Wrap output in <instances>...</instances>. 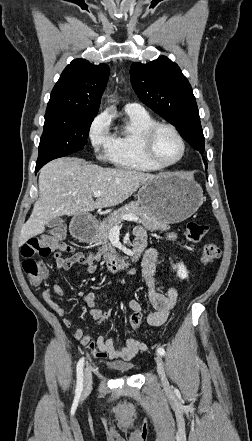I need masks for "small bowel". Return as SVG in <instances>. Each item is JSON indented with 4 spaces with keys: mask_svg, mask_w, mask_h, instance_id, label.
Listing matches in <instances>:
<instances>
[{
    "mask_svg": "<svg viewBox=\"0 0 252 441\" xmlns=\"http://www.w3.org/2000/svg\"><path fill=\"white\" fill-rule=\"evenodd\" d=\"M169 239H175L176 236L173 233L168 234ZM147 238L142 229L136 231V239L134 245L143 246V250L146 248ZM73 249L67 246L64 251H57L55 253V266L58 269L69 270L75 264H81L85 267L88 273H94L97 270L96 258L97 255L90 254L85 256L82 253H74L69 257H64V252H72ZM157 252L153 248H147L145 251L142 269L140 272V280L146 285L148 289V310H147V322L152 327H160L163 325L171 310L174 308L178 298L177 289L173 286L169 287L166 293H162L156 290L154 275L156 271ZM52 291L59 295H64L63 288L58 284H54L52 290L47 289L43 291L42 297L49 307L60 317H63V324L66 327H74L72 321L65 317L66 311L63 307L58 305L52 299ZM83 301L89 308L88 314L94 320H99L101 310L97 308L96 295L92 292L83 294ZM130 310L142 311V306L137 300H130L128 302ZM73 337L81 343L86 344L90 340L88 334H84L82 329L74 327ZM98 349L106 354V357L110 359H122L129 361L133 359L137 354L147 349L144 342L135 338H128L126 344L122 347H117L114 340L101 335L97 339Z\"/></svg>",
    "mask_w": 252,
    "mask_h": 441,
    "instance_id": "small-bowel-1",
    "label": "small bowel"
}]
</instances>
